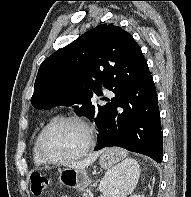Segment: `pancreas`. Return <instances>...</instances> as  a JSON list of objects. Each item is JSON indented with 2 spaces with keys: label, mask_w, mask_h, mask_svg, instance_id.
<instances>
[{
  "label": "pancreas",
  "mask_w": 191,
  "mask_h": 197,
  "mask_svg": "<svg viewBox=\"0 0 191 197\" xmlns=\"http://www.w3.org/2000/svg\"><path fill=\"white\" fill-rule=\"evenodd\" d=\"M83 197H91V194H89L88 192H83Z\"/></svg>",
  "instance_id": "obj_1"
}]
</instances>
